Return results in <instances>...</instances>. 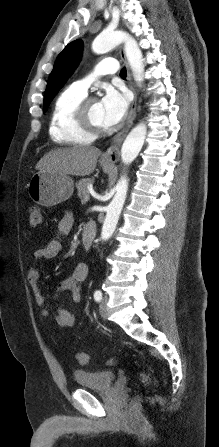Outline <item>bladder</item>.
Wrapping results in <instances>:
<instances>
[{
	"label": "bladder",
	"mask_w": 219,
	"mask_h": 447,
	"mask_svg": "<svg viewBox=\"0 0 219 447\" xmlns=\"http://www.w3.org/2000/svg\"><path fill=\"white\" fill-rule=\"evenodd\" d=\"M73 379L74 382L82 389L104 391L113 386L116 380V373L110 370H75L73 372Z\"/></svg>",
	"instance_id": "31cf9c89"
}]
</instances>
